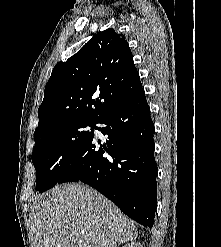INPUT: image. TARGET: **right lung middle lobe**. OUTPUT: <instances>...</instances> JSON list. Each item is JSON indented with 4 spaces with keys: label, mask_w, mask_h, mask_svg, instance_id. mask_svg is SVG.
<instances>
[{
    "label": "right lung middle lobe",
    "mask_w": 221,
    "mask_h": 247,
    "mask_svg": "<svg viewBox=\"0 0 221 247\" xmlns=\"http://www.w3.org/2000/svg\"><path fill=\"white\" fill-rule=\"evenodd\" d=\"M96 122H68L36 137L32 162L36 189L44 192L55 186L94 135ZM87 127H91L88 130Z\"/></svg>",
    "instance_id": "1"
}]
</instances>
